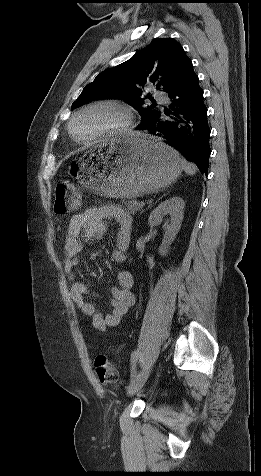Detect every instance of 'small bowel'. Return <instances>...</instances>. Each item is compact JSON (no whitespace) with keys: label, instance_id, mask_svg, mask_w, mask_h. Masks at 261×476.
I'll list each match as a JSON object with an SVG mask.
<instances>
[{"label":"small bowel","instance_id":"1","mask_svg":"<svg viewBox=\"0 0 261 476\" xmlns=\"http://www.w3.org/2000/svg\"><path fill=\"white\" fill-rule=\"evenodd\" d=\"M108 220L114 221L118 226L111 258L115 262H123L130 243L132 221L130 215L116 205L92 207L71 218L66 234L63 260L64 271L71 282V299L91 320L92 326L102 332L118 326L135 302V296L131 290L133 277L127 270L117 272V285L110 290L111 310L109 313L99 312L94 304L85 299L88 289L82 281L76 279L74 274V269L79 263V254L83 250L84 239L102 237L107 232L106 221Z\"/></svg>","mask_w":261,"mask_h":476}]
</instances>
